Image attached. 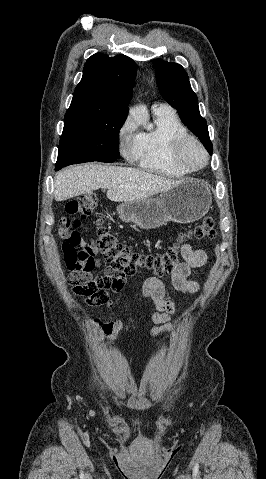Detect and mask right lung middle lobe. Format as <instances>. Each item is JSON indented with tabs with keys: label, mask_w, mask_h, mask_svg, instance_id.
Instances as JSON below:
<instances>
[{
	"label": "right lung middle lobe",
	"mask_w": 266,
	"mask_h": 479,
	"mask_svg": "<svg viewBox=\"0 0 266 479\" xmlns=\"http://www.w3.org/2000/svg\"><path fill=\"white\" fill-rule=\"evenodd\" d=\"M125 120L116 116H65L56 166L114 162L119 156L118 134Z\"/></svg>",
	"instance_id": "1"
}]
</instances>
